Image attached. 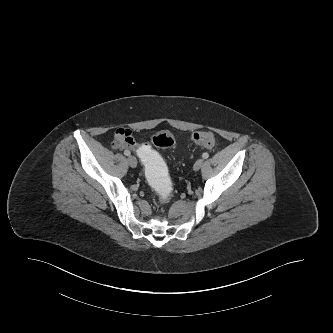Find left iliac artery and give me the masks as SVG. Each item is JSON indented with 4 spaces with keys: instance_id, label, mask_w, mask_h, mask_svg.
Here are the masks:
<instances>
[{
    "instance_id": "44dca946",
    "label": "left iliac artery",
    "mask_w": 333,
    "mask_h": 333,
    "mask_svg": "<svg viewBox=\"0 0 333 333\" xmlns=\"http://www.w3.org/2000/svg\"><path fill=\"white\" fill-rule=\"evenodd\" d=\"M202 157H203L204 159H207V158L209 157V154H208L207 152H205V153H203Z\"/></svg>"
}]
</instances>
